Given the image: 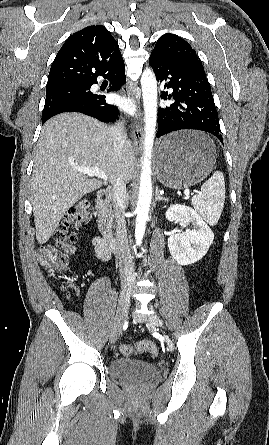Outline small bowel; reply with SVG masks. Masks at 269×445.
<instances>
[{"mask_svg":"<svg viewBox=\"0 0 269 445\" xmlns=\"http://www.w3.org/2000/svg\"><path fill=\"white\" fill-rule=\"evenodd\" d=\"M94 247L97 254V257L102 260L106 261L110 258V251L107 249L104 241L97 237L94 239Z\"/></svg>","mask_w":269,"mask_h":445,"instance_id":"1","label":"small bowel"}]
</instances>
